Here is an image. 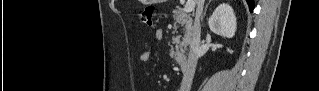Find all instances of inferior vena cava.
Returning a JSON list of instances; mask_svg holds the SVG:
<instances>
[{
    "mask_svg": "<svg viewBox=\"0 0 319 91\" xmlns=\"http://www.w3.org/2000/svg\"><path fill=\"white\" fill-rule=\"evenodd\" d=\"M204 2V0H197L196 16L190 40L188 60L186 68L183 71V78L181 81L180 91H190L191 89L195 68L199 58L201 37L200 19L202 18Z\"/></svg>",
    "mask_w": 319,
    "mask_h": 91,
    "instance_id": "602c4592",
    "label": "inferior vena cava"
}]
</instances>
